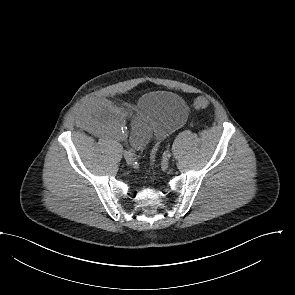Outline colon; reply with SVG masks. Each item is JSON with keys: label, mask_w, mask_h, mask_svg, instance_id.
Segmentation results:
<instances>
[{"label": "colon", "mask_w": 295, "mask_h": 295, "mask_svg": "<svg viewBox=\"0 0 295 295\" xmlns=\"http://www.w3.org/2000/svg\"><path fill=\"white\" fill-rule=\"evenodd\" d=\"M208 104H209L208 100L203 97H199V98L195 99L193 102V105L196 108H205L208 106ZM156 155H157V148H154L151 151V156H150L151 160H154L156 158Z\"/></svg>", "instance_id": "obj_1"}]
</instances>
